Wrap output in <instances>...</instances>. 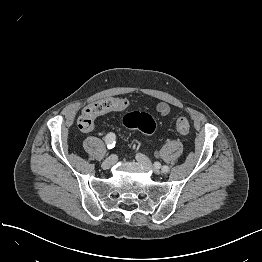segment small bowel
<instances>
[{
    "label": "small bowel",
    "mask_w": 262,
    "mask_h": 262,
    "mask_svg": "<svg viewBox=\"0 0 262 262\" xmlns=\"http://www.w3.org/2000/svg\"><path fill=\"white\" fill-rule=\"evenodd\" d=\"M102 103H105V105L102 106V110L101 111H96L95 110V106L94 105H91V106H88L84 109V111L82 112L85 113V112H88L90 115H91V118L92 120H94V118L98 117V116H101V115H104L106 113H109V112H112V111H116V110H113L111 108H109L106 103H107V100H103ZM156 110L159 114H161L162 116H167L170 114L171 112V108H170V105L166 102H159L156 106ZM81 114V115H82ZM93 127V126H92ZM91 127V129H92ZM89 129V130H91ZM88 130V131H89Z\"/></svg>",
    "instance_id": "obj_1"
}]
</instances>
